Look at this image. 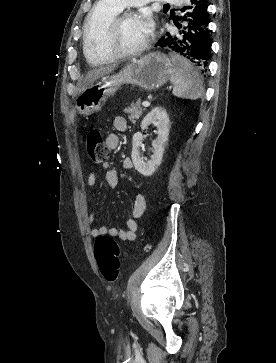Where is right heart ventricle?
<instances>
[{"label":"right heart ventricle","mask_w":276,"mask_h":363,"mask_svg":"<svg viewBox=\"0 0 276 363\" xmlns=\"http://www.w3.org/2000/svg\"><path fill=\"white\" fill-rule=\"evenodd\" d=\"M121 11V8L110 0H100L88 15L84 26V54L94 65L108 64L115 60L104 46L107 26Z\"/></svg>","instance_id":"obj_1"}]
</instances>
